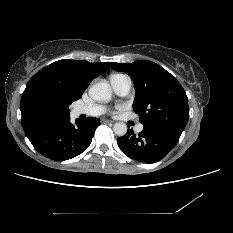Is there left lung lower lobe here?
Masks as SVG:
<instances>
[{"label":"left lung lower lobe","instance_id":"left-lung-lower-lobe-1","mask_svg":"<svg viewBox=\"0 0 233 233\" xmlns=\"http://www.w3.org/2000/svg\"><path fill=\"white\" fill-rule=\"evenodd\" d=\"M180 136L144 127L138 135H135L132 129L128 130L124 136L117 139V143L128 157L143 163H154L174 148Z\"/></svg>","mask_w":233,"mask_h":233}]
</instances>
